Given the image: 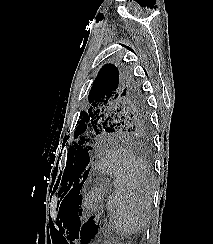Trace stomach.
Segmentation results:
<instances>
[{
  "label": "stomach",
  "mask_w": 213,
  "mask_h": 244,
  "mask_svg": "<svg viewBox=\"0 0 213 244\" xmlns=\"http://www.w3.org/2000/svg\"><path fill=\"white\" fill-rule=\"evenodd\" d=\"M111 184L109 181L104 180L93 185V187L88 191L85 197L84 206L87 210L95 209L107 195Z\"/></svg>",
  "instance_id": "0dacf381"
}]
</instances>
